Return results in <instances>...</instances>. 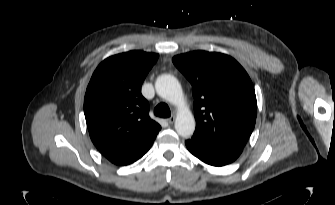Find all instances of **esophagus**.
Masks as SVG:
<instances>
[{
	"label": "esophagus",
	"instance_id": "obj_1",
	"mask_svg": "<svg viewBox=\"0 0 335 205\" xmlns=\"http://www.w3.org/2000/svg\"><path fill=\"white\" fill-rule=\"evenodd\" d=\"M167 122H168L169 124H173V123L175 122V116H171V117H169V118L167 119Z\"/></svg>",
	"mask_w": 335,
	"mask_h": 205
}]
</instances>
